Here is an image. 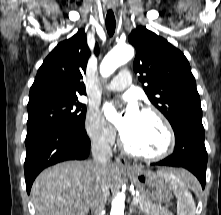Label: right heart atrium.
<instances>
[{
  "mask_svg": "<svg viewBox=\"0 0 221 215\" xmlns=\"http://www.w3.org/2000/svg\"><path fill=\"white\" fill-rule=\"evenodd\" d=\"M85 129L94 142L102 145L111 144L115 137L113 128L104 120L96 106L90 107L87 112Z\"/></svg>",
  "mask_w": 221,
  "mask_h": 215,
  "instance_id": "d8ad5b80",
  "label": "right heart atrium"
}]
</instances>
